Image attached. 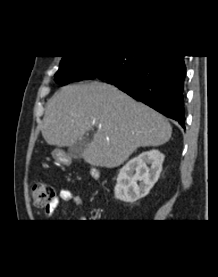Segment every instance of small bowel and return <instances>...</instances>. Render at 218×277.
I'll return each mask as SVG.
<instances>
[{
    "label": "small bowel",
    "mask_w": 218,
    "mask_h": 277,
    "mask_svg": "<svg viewBox=\"0 0 218 277\" xmlns=\"http://www.w3.org/2000/svg\"><path fill=\"white\" fill-rule=\"evenodd\" d=\"M61 202H71L76 206H82L83 198L80 194L73 192L70 189H62L54 200L46 207L45 213L48 217L54 215Z\"/></svg>",
    "instance_id": "1"
}]
</instances>
